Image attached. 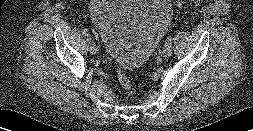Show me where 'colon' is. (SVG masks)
Listing matches in <instances>:
<instances>
[{
    "instance_id": "5ec220e1",
    "label": "colon",
    "mask_w": 253,
    "mask_h": 131,
    "mask_svg": "<svg viewBox=\"0 0 253 131\" xmlns=\"http://www.w3.org/2000/svg\"><path fill=\"white\" fill-rule=\"evenodd\" d=\"M202 1L203 0H178V4L181 7H187L189 5H197ZM116 73H117V80L121 85V87L125 91H130L132 88V84L126 73L119 67H117Z\"/></svg>"
}]
</instances>
